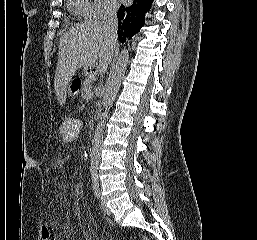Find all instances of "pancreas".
<instances>
[{
	"mask_svg": "<svg viewBox=\"0 0 257 240\" xmlns=\"http://www.w3.org/2000/svg\"><path fill=\"white\" fill-rule=\"evenodd\" d=\"M90 88H91V81L90 79L88 78L84 84H83V87L81 89V95L84 99H87L88 98V91H90Z\"/></svg>",
	"mask_w": 257,
	"mask_h": 240,
	"instance_id": "obj_1",
	"label": "pancreas"
}]
</instances>
